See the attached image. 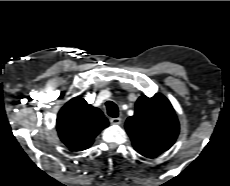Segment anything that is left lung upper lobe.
<instances>
[{
  "label": "left lung upper lobe",
  "instance_id": "obj_1",
  "mask_svg": "<svg viewBox=\"0 0 230 186\" xmlns=\"http://www.w3.org/2000/svg\"><path fill=\"white\" fill-rule=\"evenodd\" d=\"M133 147L141 155L154 158L168 150L179 133L175 111L160 93L153 97L141 96L133 116L125 124Z\"/></svg>",
  "mask_w": 230,
  "mask_h": 186
}]
</instances>
